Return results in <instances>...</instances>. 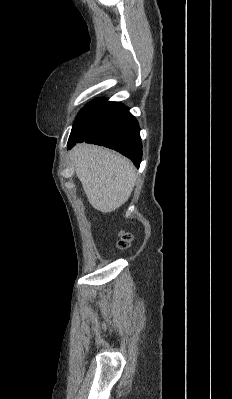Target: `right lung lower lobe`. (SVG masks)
<instances>
[{"mask_svg": "<svg viewBox=\"0 0 232 399\" xmlns=\"http://www.w3.org/2000/svg\"><path fill=\"white\" fill-rule=\"evenodd\" d=\"M140 128L129 109L119 102L96 99L77 115L68 141V149L86 141L114 149L139 166L142 157Z\"/></svg>", "mask_w": 232, "mask_h": 399, "instance_id": "98d812e1", "label": "right lung lower lobe"}]
</instances>
